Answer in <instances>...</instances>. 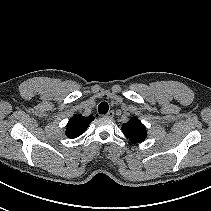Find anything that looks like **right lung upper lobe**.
<instances>
[{"mask_svg": "<svg viewBox=\"0 0 211 211\" xmlns=\"http://www.w3.org/2000/svg\"><path fill=\"white\" fill-rule=\"evenodd\" d=\"M94 116L90 115L84 117L81 115H74L69 119L66 128V135L69 138H76L83 134L88 128L89 124L94 120Z\"/></svg>", "mask_w": 211, "mask_h": 211, "instance_id": "1", "label": "right lung upper lobe"}]
</instances>
